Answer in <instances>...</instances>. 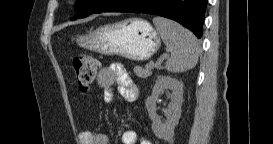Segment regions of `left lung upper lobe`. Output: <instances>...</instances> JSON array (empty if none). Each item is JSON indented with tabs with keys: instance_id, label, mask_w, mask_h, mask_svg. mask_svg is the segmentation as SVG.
Masks as SVG:
<instances>
[{
	"instance_id": "left-lung-upper-lobe-1",
	"label": "left lung upper lobe",
	"mask_w": 273,
	"mask_h": 144,
	"mask_svg": "<svg viewBox=\"0 0 273 144\" xmlns=\"http://www.w3.org/2000/svg\"><path fill=\"white\" fill-rule=\"evenodd\" d=\"M104 0H78L76 4L77 15L74 19L84 18L93 14L97 9L102 6Z\"/></svg>"
}]
</instances>
